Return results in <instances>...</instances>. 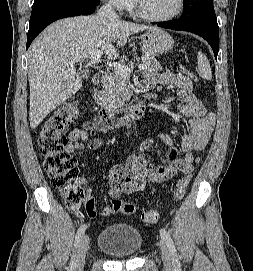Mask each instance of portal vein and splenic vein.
<instances>
[{
	"instance_id": "obj_1",
	"label": "portal vein and splenic vein",
	"mask_w": 253,
	"mask_h": 271,
	"mask_svg": "<svg viewBox=\"0 0 253 271\" xmlns=\"http://www.w3.org/2000/svg\"><path fill=\"white\" fill-rule=\"evenodd\" d=\"M102 54H103L102 51L94 52L90 57L91 62H93V63L99 62ZM106 64L109 67H112L118 74H120L124 78L128 77L133 70L132 68H130L122 63L107 61ZM138 68H139V70L144 71V70H146V65L139 64Z\"/></svg>"
}]
</instances>
